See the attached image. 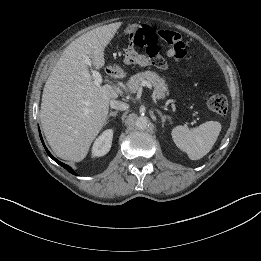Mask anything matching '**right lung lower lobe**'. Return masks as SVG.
I'll list each match as a JSON object with an SVG mask.
<instances>
[{
	"mask_svg": "<svg viewBox=\"0 0 261 261\" xmlns=\"http://www.w3.org/2000/svg\"><path fill=\"white\" fill-rule=\"evenodd\" d=\"M40 138H41V141H42V143H43V146H44L46 152L48 153V155H49L55 162H57L59 165H61L63 168H65L68 172H70V173L76 175V173L72 170L71 167H69L68 165H66V164H64V163H62V162H60L59 160H57L55 157H53V156L51 155V153L48 151V149L46 148V146H45V144H44V142H43L41 133H40Z\"/></svg>",
	"mask_w": 261,
	"mask_h": 261,
	"instance_id": "98d812e1",
	"label": "right lung lower lobe"
}]
</instances>
